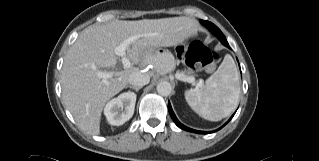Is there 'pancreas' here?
Listing matches in <instances>:
<instances>
[{
    "label": "pancreas",
    "mask_w": 319,
    "mask_h": 161,
    "mask_svg": "<svg viewBox=\"0 0 319 161\" xmlns=\"http://www.w3.org/2000/svg\"><path fill=\"white\" fill-rule=\"evenodd\" d=\"M181 74H185V72H181Z\"/></svg>",
    "instance_id": "cf45deb5"
}]
</instances>
